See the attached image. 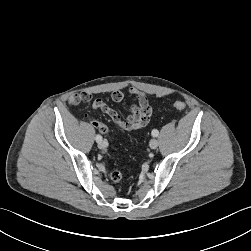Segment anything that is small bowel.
I'll use <instances>...</instances> for the list:
<instances>
[{"instance_id": "1", "label": "small bowel", "mask_w": 251, "mask_h": 251, "mask_svg": "<svg viewBox=\"0 0 251 251\" xmlns=\"http://www.w3.org/2000/svg\"><path fill=\"white\" fill-rule=\"evenodd\" d=\"M128 93L136 99L137 104L130 107V113L126 117H122L115 109L100 98L93 100L92 108L105 113L114 124L125 131L143 128L149 123L152 113L148 96L134 87L129 88ZM124 97L125 93L123 91H114L111 94V100L116 103L121 102ZM91 100V93L82 92L70 97L69 103L75 106L80 102H89Z\"/></svg>"}]
</instances>
